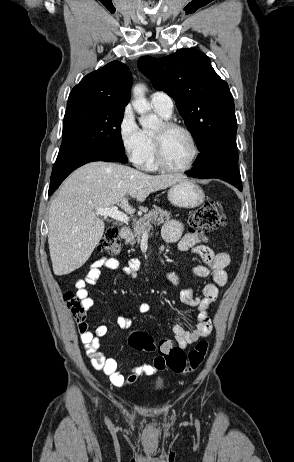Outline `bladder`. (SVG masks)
Here are the masks:
<instances>
[{
  "label": "bladder",
  "mask_w": 294,
  "mask_h": 462,
  "mask_svg": "<svg viewBox=\"0 0 294 462\" xmlns=\"http://www.w3.org/2000/svg\"><path fill=\"white\" fill-rule=\"evenodd\" d=\"M155 389L160 391V390H163L165 388V383L163 381H157L155 382V385H154Z\"/></svg>",
  "instance_id": "bladder-1"
}]
</instances>
